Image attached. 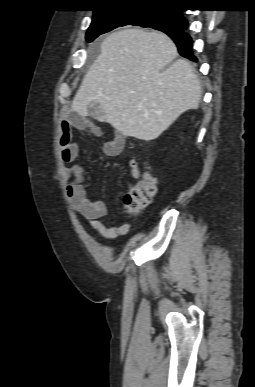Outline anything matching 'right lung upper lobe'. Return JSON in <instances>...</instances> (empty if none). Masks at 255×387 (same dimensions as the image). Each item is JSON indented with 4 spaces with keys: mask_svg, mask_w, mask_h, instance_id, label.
<instances>
[{
    "mask_svg": "<svg viewBox=\"0 0 255 387\" xmlns=\"http://www.w3.org/2000/svg\"><path fill=\"white\" fill-rule=\"evenodd\" d=\"M99 8L94 10V14L130 8H169L173 9L178 0H100Z\"/></svg>",
    "mask_w": 255,
    "mask_h": 387,
    "instance_id": "right-lung-upper-lobe-1",
    "label": "right lung upper lobe"
}]
</instances>
